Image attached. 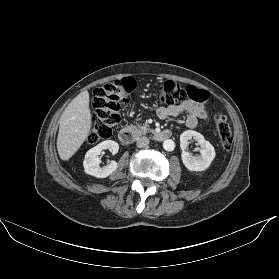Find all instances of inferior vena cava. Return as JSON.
I'll return each instance as SVG.
<instances>
[{"mask_svg": "<svg viewBox=\"0 0 279 279\" xmlns=\"http://www.w3.org/2000/svg\"><path fill=\"white\" fill-rule=\"evenodd\" d=\"M148 144H149V139L146 136H142L138 138L136 143L138 148L146 147Z\"/></svg>", "mask_w": 279, "mask_h": 279, "instance_id": "inferior-vena-cava-1", "label": "inferior vena cava"}]
</instances>
